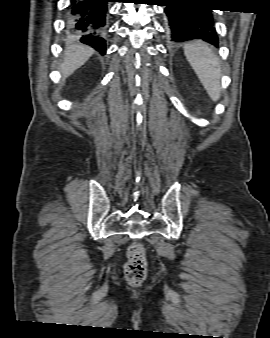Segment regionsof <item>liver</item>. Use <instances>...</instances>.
<instances>
[{"mask_svg":"<svg viewBox=\"0 0 270 338\" xmlns=\"http://www.w3.org/2000/svg\"><path fill=\"white\" fill-rule=\"evenodd\" d=\"M93 53L94 49L86 45L67 46L65 49L64 62L60 67V71L63 74V80L84 65Z\"/></svg>","mask_w":270,"mask_h":338,"instance_id":"obj_1","label":"liver"}]
</instances>
